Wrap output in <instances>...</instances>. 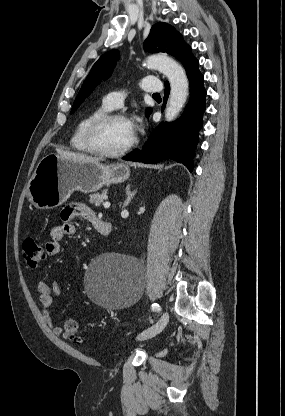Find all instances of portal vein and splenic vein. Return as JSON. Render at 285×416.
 Here are the masks:
<instances>
[{
  "instance_id": "obj_1",
  "label": "portal vein and splenic vein",
  "mask_w": 285,
  "mask_h": 416,
  "mask_svg": "<svg viewBox=\"0 0 285 416\" xmlns=\"http://www.w3.org/2000/svg\"><path fill=\"white\" fill-rule=\"evenodd\" d=\"M104 208H110L111 204L110 202H105V204H103Z\"/></svg>"
}]
</instances>
